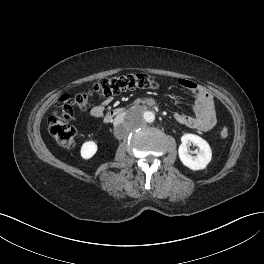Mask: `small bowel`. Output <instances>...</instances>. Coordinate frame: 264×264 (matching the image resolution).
Wrapping results in <instances>:
<instances>
[{"label": "small bowel", "mask_w": 264, "mask_h": 264, "mask_svg": "<svg viewBox=\"0 0 264 264\" xmlns=\"http://www.w3.org/2000/svg\"><path fill=\"white\" fill-rule=\"evenodd\" d=\"M181 87L189 90L195 97L194 114L175 113L174 119L191 129L202 132L211 130L216 123L215 104L212 96L199 84L189 79H179ZM112 102V97L105 98L100 104L93 106L89 115L92 118L99 119L104 115L106 108Z\"/></svg>", "instance_id": "1"}]
</instances>
